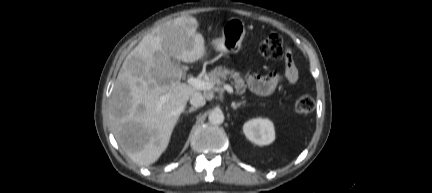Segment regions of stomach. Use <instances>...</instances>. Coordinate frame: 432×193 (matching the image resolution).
I'll list each match as a JSON object with an SVG mask.
<instances>
[{
    "instance_id": "obj_1",
    "label": "stomach",
    "mask_w": 432,
    "mask_h": 193,
    "mask_svg": "<svg viewBox=\"0 0 432 193\" xmlns=\"http://www.w3.org/2000/svg\"><path fill=\"white\" fill-rule=\"evenodd\" d=\"M245 25L238 19L228 20L222 28V36L213 39L211 46L220 52L235 53L237 52L245 38Z\"/></svg>"
}]
</instances>
